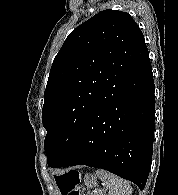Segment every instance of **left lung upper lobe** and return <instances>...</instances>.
Wrapping results in <instances>:
<instances>
[{
	"mask_svg": "<svg viewBox=\"0 0 178 195\" xmlns=\"http://www.w3.org/2000/svg\"><path fill=\"white\" fill-rule=\"evenodd\" d=\"M137 23L104 10L74 29L50 70L44 92V148L54 167L81 136L92 114L147 58Z\"/></svg>",
	"mask_w": 178,
	"mask_h": 195,
	"instance_id": "left-lung-upper-lobe-1",
	"label": "left lung upper lobe"
}]
</instances>
